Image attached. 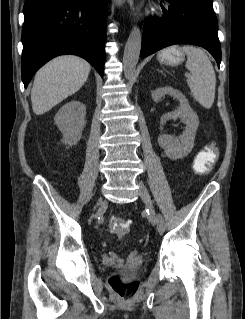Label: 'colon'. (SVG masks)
Wrapping results in <instances>:
<instances>
[{
	"instance_id": "5ec220e1",
	"label": "colon",
	"mask_w": 245,
	"mask_h": 319,
	"mask_svg": "<svg viewBox=\"0 0 245 319\" xmlns=\"http://www.w3.org/2000/svg\"><path fill=\"white\" fill-rule=\"evenodd\" d=\"M218 158V147L214 144L208 145L195 158L193 170L197 175L208 174ZM112 232L117 236H124L130 229L127 219L114 217L109 222ZM109 284L114 292L124 301H128L138 291L139 284L137 281H122L119 276L113 275L109 279Z\"/></svg>"
}]
</instances>
